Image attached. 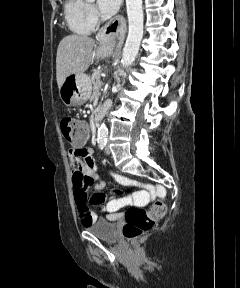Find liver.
Returning <instances> with one entry per match:
<instances>
[{"label": "liver", "instance_id": "liver-1", "mask_svg": "<svg viewBox=\"0 0 240 288\" xmlns=\"http://www.w3.org/2000/svg\"><path fill=\"white\" fill-rule=\"evenodd\" d=\"M94 45V39L82 35H68L60 41L56 57L59 88L69 75L84 73L88 69Z\"/></svg>", "mask_w": 240, "mask_h": 288}]
</instances>
